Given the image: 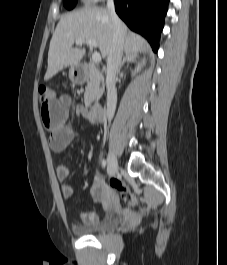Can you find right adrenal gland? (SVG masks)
<instances>
[{"mask_svg":"<svg viewBox=\"0 0 227 265\" xmlns=\"http://www.w3.org/2000/svg\"><path fill=\"white\" fill-rule=\"evenodd\" d=\"M137 59V54H132V53H126L120 63V66L118 68V73L120 72L122 66L124 65L125 62H134Z\"/></svg>","mask_w":227,"mask_h":265,"instance_id":"1","label":"right adrenal gland"}]
</instances>
